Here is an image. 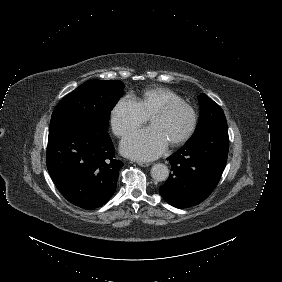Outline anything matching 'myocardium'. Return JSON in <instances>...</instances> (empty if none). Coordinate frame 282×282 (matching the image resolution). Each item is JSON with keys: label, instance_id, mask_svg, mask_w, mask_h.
I'll use <instances>...</instances> for the list:
<instances>
[{"label": "myocardium", "instance_id": "f54148a6", "mask_svg": "<svg viewBox=\"0 0 282 282\" xmlns=\"http://www.w3.org/2000/svg\"><path fill=\"white\" fill-rule=\"evenodd\" d=\"M175 110H183L188 117V123L184 132L178 138L169 141L171 145H180L190 138L196 126V114L188 104L182 101H171L166 106L153 111L149 116V122L155 116H165Z\"/></svg>", "mask_w": 282, "mask_h": 282}]
</instances>
